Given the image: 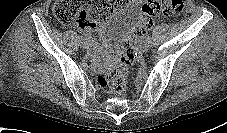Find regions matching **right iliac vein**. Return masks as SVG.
Wrapping results in <instances>:
<instances>
[{
    "label": "right iliac vein",
    "mask_w": 227,
    "mask_h": 133,
    "mask_svg": "<svg viewBox=\"0 0 227 133\" xmlns=\"http://www.w3.org/2000/svg\"><path fill=\"white\" fill-rule=\"evenodd\" d=\"M81 47L83 49H88L90 47L89 43L87 41H83L82 44H81Z\"/></svg>",
    "instance_id": "63e3f726"
}]
</instances>
